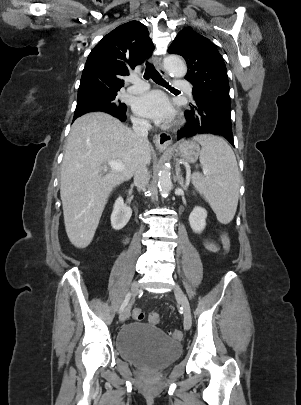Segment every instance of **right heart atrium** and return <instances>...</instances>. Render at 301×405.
<instances>
[{"instance_id": "d8ad5b80", "label": "right heart atrium", "mask_w": 301, "mask_h": 405, "mask_svg": "<svg viewBox=\"0 0 301 405\" xmlns=\"http://www.w3.org/2000/svg\"><path fill=\"white\" fill-rule=\"evenodd\" d=\"M133 122H134V124H136L138 126H144L146 124V122L143 119L138 118V117H134Z\"/></svg>"}]
</instances>
